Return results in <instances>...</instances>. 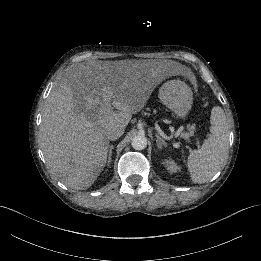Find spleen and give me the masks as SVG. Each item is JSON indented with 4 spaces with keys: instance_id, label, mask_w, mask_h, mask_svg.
Returning a JSON list of instances; mask_svg holds the SVG:
<instances>
[{
    "instance_id": "3e777b00",
    "label": "spleen",
    "mask_w": 261,
    "mask_h": 261,
    "mask_svg": "<svg viewBox=\"0 0 261 261\" xmlns=\"http://www.w3.org/2000/svg\"><path fill=\"white\" fill-rule=\"evenodd\" d=\"M211 135L198 150L188 156V170L193 183L209 181L222 167L229 148L228 122L224 110L215 106L210 116Z\"/></svg>"
}]
</instances>
